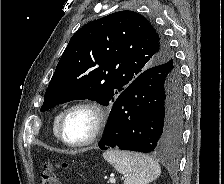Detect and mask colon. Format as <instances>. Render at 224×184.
I'll list each match as a JSON object with an SVG mask.
<instances>
[{
  "instance_id": "5ec220e1",
  "label": "colon",
  "mask_w": 224,
  "mask_h": 184,
  "mask_svg": "<svg viewBox=\"0 0 224 184\" xmlns=\"http://www.w3.org/2000/svg\"><path fill=\"white\" fill-rule=\"evenodd\" d=\"M67 169V163H62L60 165L45 164L40 172V184H60L59 171Z\"/></svg>"
}]
</instances>
